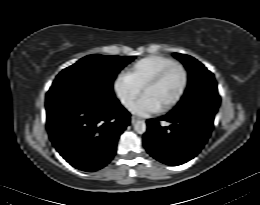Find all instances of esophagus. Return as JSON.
<instances>
[{
  "instance_id": "obj_1",
  "label": "esophagus",
  "mask_w": 260,
  "mask_h": 205,
  "mask_svg": "<svg viewBox=\"0 0 260 205\" xmlns=\"http://www.w3.org/2000/svg\"><path fill=\"white\" fill-rule=\"evenodd\" d=\"M137 119H138V117L133 116L132 119H131V122L133 123V122H135Z\"/></svg>"
}]
</instances>
